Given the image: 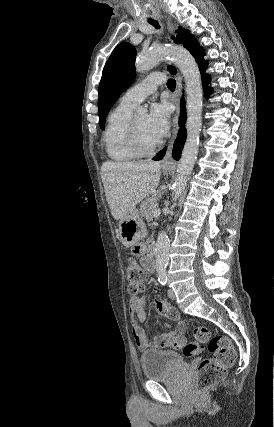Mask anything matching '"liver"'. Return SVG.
I'll return each mask as SVG.
<instances>
[{
  "label": "liver",
  "mask_w": 274,
  "mask_h": 427,
  "mask_svg": "<svg viewBox=\"0 0 274 427\" xmlns=\"http://www.w3.org/2000/svg\"><path fill=\"white\" fill-rule=\"evenodd\" d=\"M101 178L111 214L114 219H122L155 192L160 162H104Z\"/></svg>",
  "instance_id": "6515ba94"
}]
</instances>
